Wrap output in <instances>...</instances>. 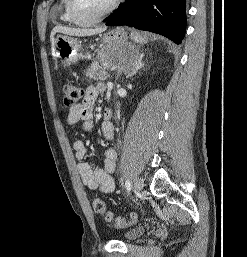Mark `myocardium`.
<instances>
[{"label": "myocardium", "mask_w": 247, "mask_h": 257, "mask_svg": "<svg viewBox=\"0 0 247 257\" xmlns=\"http://www.w3.org/2000/svg\"><path fill=\"white\" fill-rule=\"evenodd\" d=\"M121 1L122 0H113L103 12L92 18H84L79 15L76 8V0H69V11L76 24L81 26H88L95 24L110 15L119 6Z\"/></svg>", "instance_id": "obj_1"}]
</instances>
